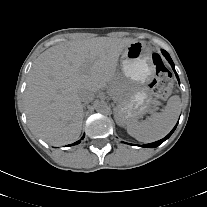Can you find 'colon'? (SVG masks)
I'll use <instances>...</instances> for the list:
<instances>
[{"instance_id": "colon-1", "label": "colon", "mask_w": 207, "mask_h": 207, "mask_svg": "<svg viewBox=\"0 0 207 207\" xmlns=\"http://www.w3.org/2000/svg\"><path fill=\"white\" fill-rule=\"evenodd\" d=\"M152 62L155 67L156 76L151 82V87L156 98L164 100L169 96L171 91V73L159 54L154 53L152 55Z\"/></svg>"}]
</instances>
